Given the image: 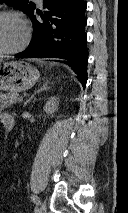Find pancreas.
Returning a JSON list of instances; mask_svg holds the SVG:
<instances>
[{
  "mask_svg": "<svg viewBox=\"0 0 128 213\" xmlns=\"http://www.w3.org/2000/svg\"><path fill=\"white\" fill-rule=\"evenodd\" d=\"M18 102H20V97L17 93H11V94L0 93V108L12 107Z\"/></svg>",
  "mask_w": 128,
  "mask_h": 213,
  "instance_id": "obj_1",
  "label": "pancreas"
}]
</instances>
